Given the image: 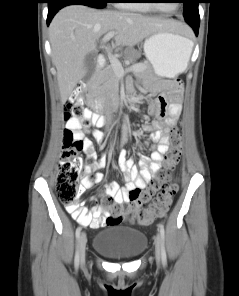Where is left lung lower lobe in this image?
I'll return each mask as SVG.
<instances>
[{"instance_id": "obj_1", "label": "left lung lower lobe", "mask_w": 239, "mask_h": 296, "mask_svg": "<svg viewBox=\"0 0 239 296\" xmlns=\"http://www.w3.org/2000/svg\"><path fill=\"white\" fill-rule=\"evenodd\" d=\"M188 24L193 28L196 36L198 35L200 21H190Z\"/></svg>"}]
</instances>
